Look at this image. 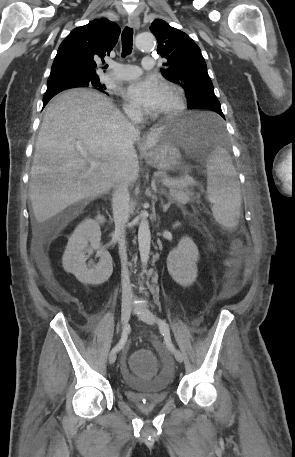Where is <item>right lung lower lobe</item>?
Segmentation results:
<instances>
[{
    "mask_svg": "<svg viewBox=\"0 0 295 457\" xmlns=\"http://www.w3.org/2000/svg\"><path fill=\"white\" fill-rule=\"evenodd\" d=\"M74 87H81V86L73 85L72 83H67V82H56V83L47 84V90L51 89V90H56V91H62V90L74 88ZM43 104L45 106L47 104V102H45L43 100Z\"/></svg>",
    "mask_w": 295,
    "mask_h": 457,
    "instance_id": "obj_1",
    "label": "right lung lower lobe"
}]
</instances>
